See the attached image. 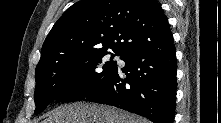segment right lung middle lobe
<instances>
[{
    "instance_id": "obj_1",
    "label": "right lung middle lobe",
    "mask_w": 221,
    "mask_h": 123,
    "mask_svg": "<svg viewBox=\"0 0 221 123\" xmlns=\"http://www.w3.org/2000/svg\"><path fill=\"white\" fill-rule=\"evenodd\" d=\"M106 50L70 55L36 67L35 114L41 113L54 100L83 99L92 86L107 79L117 68L108 61ZM124 54L114 52L111 59Z\"/></svg>"
}]
</instances>
